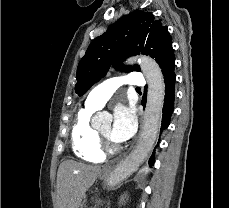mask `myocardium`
Returning a JSON list of instances; mask_svg holds the SVG:
<instances>
[{
	"label": "myocardium",
	"mask_w": 229,
	"mask_h": 208,
	"mask_svg": "<svg viewBox=\"0 0 229 208\" xmlns=\"http://www.w3.org/2000/svg\"><path fill=\"white\" fill-rule=\"evenodd\" d=\"M97 132V131H96ZM98 136L104 140L105 142H101L98 144L99 148H102V153H109V148H104V147H110L114 148L115 145L112 143L111 139L103 134H101L99 131L97 132Z\"/></svg>",
	"instance_id": "myocardium-1"
}]
</instances>
